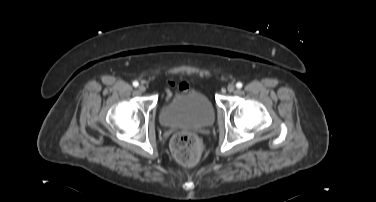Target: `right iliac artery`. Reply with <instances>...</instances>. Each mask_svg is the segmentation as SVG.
Wrapping results in <instances>:
<instances>
[{"label": "right iliac artery", "instance_id": "82829eb1", "mask_svg": "<svg viewBox=\"0 0 376 202\" xmlns=\"http://www.w3.org/2000/svg\"><path fill=\"white\" fill-rule=\"evenodd\" d=\"M138 85H139V83H138L137 81H134V82H133V86H134V87H138Z\"/></svg>", "mask_w": 376, "mask_h": 202}]
</instances>
